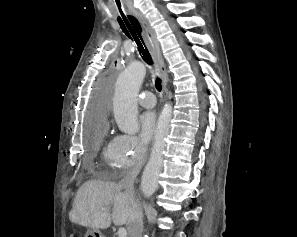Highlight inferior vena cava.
<instances>
[{"mask_svg": "<svg viewBox=\"0 0 297 237\" xmlns=\"http://www.w3.org/2000/svg\"><path fill=\"white\" fill-rule=\"evenodd\" d=\"M139 173L138 168L128 171L118 186L124 189L129 202V219L127 230L129 237H142L143 234V209L139 201L134 197V181Z\"/></svg>", "mask_w": 297, "mask_h": 237, "instance_id": "inferior-vena-cava-1", "label": "inferior vena cava"}]
</instances>
